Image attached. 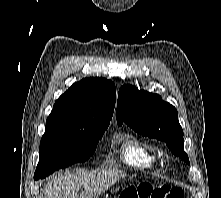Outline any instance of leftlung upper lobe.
<instances>
[{
	"instance_id": "1",
	"label": "left lung upper lobe",
	"mask_w": 221,
	"mask_h": 198,
	"mask_svg": "<svg viewBox=\"0 0 221 198\" xmlns=\"http://www.w3.org/2000/svg\"><path fill=\"white\" fill-rule=\"evenodd\" d=\"M116 118L119 126L125 122L141 135L164 141L174 155L189 164L183 150V130L178 112L158 94L138 90L132 85L122 86L118 93Z\"/></svg>"
}]
</instances>
